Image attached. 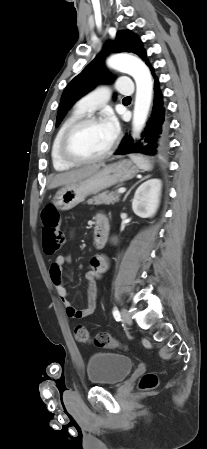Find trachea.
Returning <instances> with one entry per match:
<instances>
[{"instance_id":"3493384b","label":"trachea","mask_w":207,"mask_h":449,"mask_svg":"<svg viewBox=\"0 0 207 449\" xmlns=\"http://www.w3.org/2000/svg\"><path fill=\"white\" fill-rule=\"evenodd\" d=\"M131 99V97H125L124 98V100H130Z\"/></svg>"}]
</instances>
